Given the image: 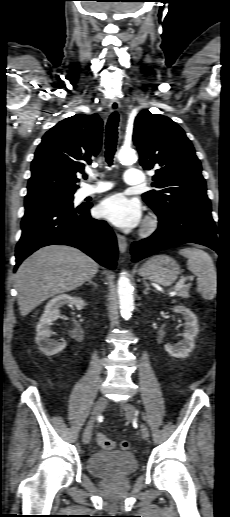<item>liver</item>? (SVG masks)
Instances as JSON below:
<instances>
[{
	"mask_svg": "<svg viewBox=\"0 0 230 517\" xmlns=\"http://www.w3.org/2000/svg\"><path fill=\"white\" fill-rule=\"evenodd\" d=\"M99 265L82 251L64 245L40 248L16 272L17 300L22 316L46 299L89 281Z\"/></svg>",
	"mask_w": 230,
	"mask_h": 517,
	"instance_id": "6515ba94",
	"label": "liver"
}]
</instances>
